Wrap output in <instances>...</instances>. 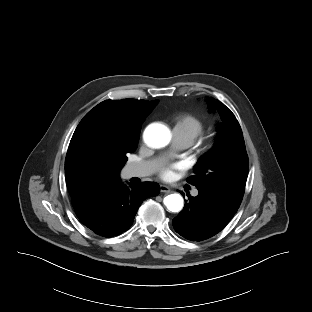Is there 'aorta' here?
<instances>
[{"label": "aorta", "mask_w": 312, "mask_h": 312, "mask_svg": "<svg viewBox=\"0 0 312 312\" xmlns=\"http://www.w3.org/2000/svg\"><path fill=\"white\" fill-rule=\"evenodd\" d=\"M144 140L150 147L162 148L169 144L171 134L169 129L161 124L149 125L144 132ZM183 198L180 194L174 193L164 198V204L171 212H179L183 208Z\"/></svg>", "instance_id": "762f6f07"}]
</instances>
